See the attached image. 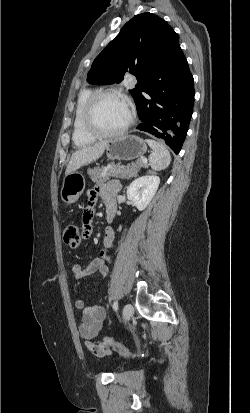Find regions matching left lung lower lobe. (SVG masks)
Masks as SVG:
<instances>
[{"label":"left lung lower lobe","instance_id":"1","mask_svg":"<svg viewBox=\"0 0 250 413\" xmlns=\"http://www.w3.org/2000/svg\"><path fill=\"white\" fill-rule=\"evenodd\" d=\"M178 40V36L167 44L162 40V68L147 79L135 99L142 121L137 129L163 139L176 154L188 131L195 94L193 76Z\"/></svg>","mask_w":250,"mask_h":413}]
</instances>
